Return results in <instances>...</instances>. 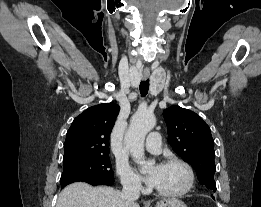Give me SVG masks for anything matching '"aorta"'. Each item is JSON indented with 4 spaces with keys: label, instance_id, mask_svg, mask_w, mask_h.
<instances>
[{
    "label": "aorta",
    "instance_id": "1",
    "mask_svg": "<svg viewBox=\"0 0 261 207\" xmlns=\"http://www.w3.org/2000/svg\"><path fill=\"white\" fill-rule=\"evenodd\" d=\"M156 125V118L150 112H136L130 122L127 133L124 137L126 147L129 149L132 158L137 164L146 169L147 163L144 154L145 137Z\"/></svg>",
    "mask_w": 261,
    "mask_h": 207
}]
</instances>
